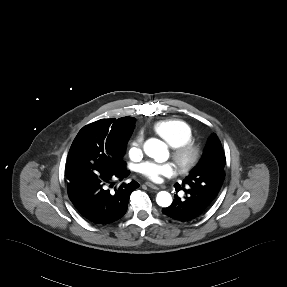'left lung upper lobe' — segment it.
Wrapping results in <instances>:
<instances>
[{
    "label": "left lung upper lobe",
    "mask_w": 287,
    "mask_h": 287,
    "mask_svg": "<svg viewBox=\"0 0 287 287\" xmlns=\"http://www.w3.org/2000/svg\"><path fill=\"white\" fill-rule=\"evenodd\" d=\"M225 164L222 145L216 134H212L200 162L189 172L182 186L213 202L225 177Z\"/></svg>",
    "instance_id": "obj_1"
}]
</instances>
